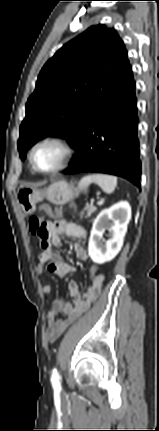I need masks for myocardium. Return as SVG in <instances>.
<instances>
[{
    "instance_id": "obj_1",
    "label": "myocardium",
    "mask_w": 159,
    "mask_h": 431,
    "mask_svg": "<svg viewBox=\"0 0 159 431\" xmlns=\"http://www.w3.org/2000/svg\"><path fill=\"white\" fill-rule=\"evenodd\" d=\"M44 144H55V145L59 146L63 152V156H62L60 163L55 168H53L51 170H47V171H43V170H40L39 168H37L35 163H34V160H33L34 151L39 146L44 145ZM73 155H74V148L66 138H64L60 135H48V136H45V137L37 140L31 146V148L29 150V154H28V159H29V163H30L32 169L35 172H37L39 174H43V175H51V174H55V173L63 170L69 164Z\"/></svg>"
}]
</instances>
